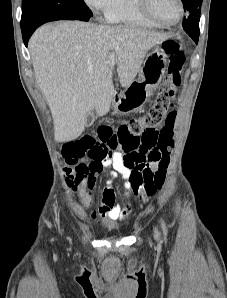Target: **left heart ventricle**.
I'll return each instance as SVG.
<instances>
[{"mask_svg": "<svg viewBox=\"0 0 227 298\" xmlns=\"http://www.w3.org/2000/svg\"><path fill=\"white\" fill-rule=\"evenodd\" d=\"M152 12L161 21L171 23L179 16L177 0H151Z\"/></svg>", "mask_w": 227, "mask_h": 298, "instance_id": "left-heart-ventricle-1", "label": "left heart ventricle"}]
</instances>
